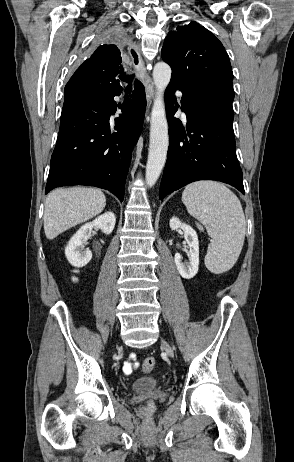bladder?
<instances>
[{
	"label": "bladder",
	"instance_id": "1",
	"mask_svg": "<svg viewBox=\"0 0 294 462\" xmlns=\"http://www.w3.org/2000/svg\"><path fill=\"white\" fill-rule=\"evenodd\" d=\"M159 385V380L154 377L142 378L134 381L130 386L133 393H143L155 389Z\"/></svg>",
	"mask_w": 294,
	"mask_h": 462
}]
</instances>
